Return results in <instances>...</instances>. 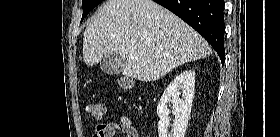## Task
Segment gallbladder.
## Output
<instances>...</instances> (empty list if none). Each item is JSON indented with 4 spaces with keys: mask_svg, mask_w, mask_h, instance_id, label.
Returning <instances> with one entry per match:
<instances>
[{
    "mask_svg": "<svg viewBox=\"0 0 280 137\" xmlns=\"http://www.w3.org/2000/svg\"><path fill=\"white\" fill-rule=\"evenodd\" d=\"M127 64L124 57L116 53H108L104 55L100 61V69L108 75H117L123 71Z\"/></svg>",
    "mask_w": 280,
    "mask_h": 137,
    "instance_id": "bac80fb5",
    "label": "gallbladder"
}]
</instances>
